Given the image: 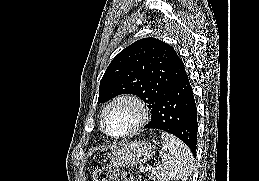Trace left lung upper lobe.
Instances as JSON below:
<instances>
[{"instance_id": "obj_1", "label": "left lung upper lobe", "mask_w": 259, "mask_h": 181, "mask_svg": "<svg viewBox=\"0 0 259 181\" xmlns=\"http://www.w3.org/2000/svg\"><path fill=\"white\" fill-rule=\"evenodd\" d=\"M182 69L183 63L171 46L152 37L140 39L117 54L107 67L98 102L134 94L148 104L153 119L162 96Z\"/></svg>"}]
</instances>
